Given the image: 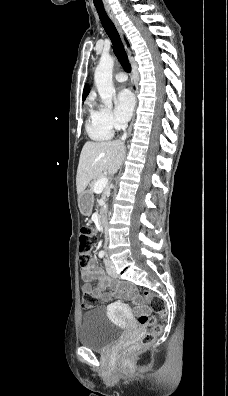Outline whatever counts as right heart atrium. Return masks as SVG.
<instances>
[{
	"instance_id": "1",
	"label": "right heart atrium",
	"mask_w": 228,
	"mask_h": 396,
	"mask_svg": "<svg viewBox=\"0 0 228 396\" xmlns=\"http://www.w3.org/2000/svg\"><path fill=\"white\" fill-rule=\"evenodd\" d=\"M95 111L97 118L106 128L114 131L121 129L124 126V123L119 120L110 108L98 106Z\"/></svg>"
}]
</instances>
